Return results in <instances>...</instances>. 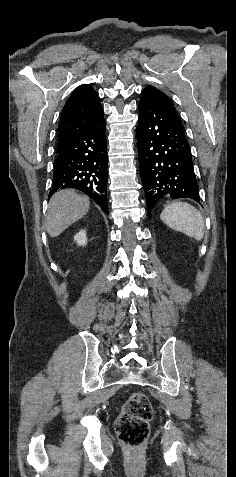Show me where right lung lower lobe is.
Here are the masks:
<instances>
[{
  "label": "right lung lower lobe",
  "instance_id": "right-lung-lower-lobe-1",
  "mask_svg": "<svg viewBox=\"0 0 236 477\" xmlns=\"http://www.w3.org/2000/svg\"><path fill=\"white\" fill-rule=\"evenodd\" d=\"M64 188L84 192L108 214L107 144L103 117L78 137L58 147L49 196Z\"/></svg>",
  "mask_w": 236,
  "mask_h": 477
}]
</instances>
